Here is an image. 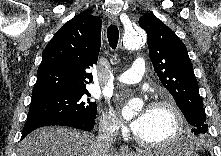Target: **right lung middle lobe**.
I'll list each match as a JSON object with an SVG mask.
<instances>
[{
	"mask_svg": "<svg viewBox=\"0 0 221 156\" xmlns=\"http://www.w3.org/2000/svg\"><path fill=\"white\" fill-rule=\"evenodd\" d=\"M87 89L64 91L32 99L27 119L90 118L95 119L97 106L90 101Z\"/></svg>",
	"mask_w": 221,
	"mask_h": 156,
	"instance_id": "obj_1",
	"label": "right lung middle lobe"
}]
</instances>
